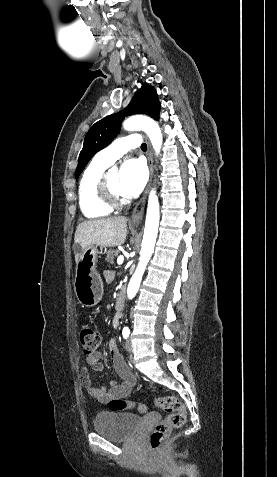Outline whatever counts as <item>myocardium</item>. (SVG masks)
<instances>
[{
  "instance_id": "myocardium-1",
  "label": "myocardium",
  "mask_w": 277,
  "mask_h": 477,
  "mask_svg": "<svg viewBox=\"0 0 277 477\" xmlns=\"http://www.w3.org/2000/svg\"><path fill=\"white\" fill-rule=\"evenodd\" d=\"M96 196L99 201L109 208H118L123 205L121 195L115 193L109 183V172H104L96 184Z\"/></svg>"
}]
</instances>
